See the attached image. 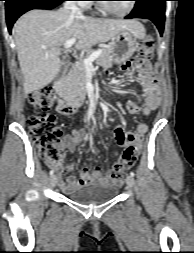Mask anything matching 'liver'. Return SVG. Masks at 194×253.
I'll use <instances>...</instances> for the list:
<instances>
[{
    "instance_id": "obj_1",
    "label": "liver",
    "mask_w": 194,
    "mask_h": 253,
    "mask_svg": "<svg viewBox=\"0 0 194 253\" xmlns=\"http://www.w3.org/2000/svg\"><path fill=\"white\" fill-rule=\"evenodd\" d=\"M129 30L135 37L145 35L137 20L92 19L71 10H32L21 16L13 27L17 56L24 76V94L51 83L60 68L62 45L76 39L78 50L113 39Z\"/></svg>"
}]
</instances>
